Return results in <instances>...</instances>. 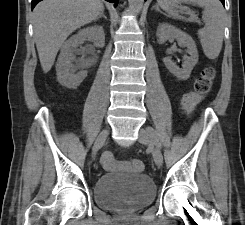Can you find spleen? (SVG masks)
<instances>
[{
    "mask_svg": "<svg viewBox=\"0 0 245 225\" xmlns=\"http://www.w3.org/2000/svg\"><path fill=\"white\" fill-rule=\"evenodd\" d=\"M158 5L170 16L183 19L174 10L176 4L188 3L202 7V20L205 22L204 29L198 31V36L204 51L209 59L219 56L224 37L225 11L219 0H157Z\"/></svg>",
    "mask_w": 245,
    "mask_h": 225,
    "instance_id": "1",
    "label": "spleen"
}]
</instances>
